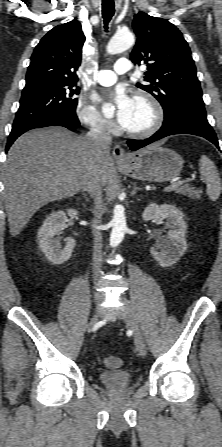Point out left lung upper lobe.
<instances>
[{"label":"left lung upper lobe","mask_w":222,"mask_h":447,"mask_svg":"<svg viewBox=\"0 0 222 447\" xmlns=\"http://www.w3.org/2000/svg\"><path fill=\"white\" fill-rule=\"evenodd\" d=\"M133 29L137 42L131 60L147 64V84L137 87L161 103L164 118L178 110L206 117L195 64L181 32L169 21L144 12L134 16Z\"/></svg>","instance_id":"left-lung-upper-lobe-1"}]
</instances>
